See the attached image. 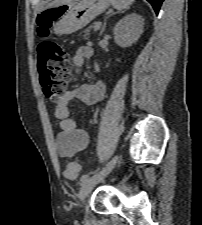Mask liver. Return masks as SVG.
Instances as JSON below:
<instances>
[{"label": "liver", "mask_w": 202, "mask_h": 225, "mask_svg": "<svg viewBox=\"0 0 202 225\" xmlns=\"http://www.w3.org/2000/svg\"><path fill=\"white\" fill-rule=\"evenodd\" d=\"M74 1L75 0H53L51 3L47 5V8L56 7V6L64 5V4H71Z\"/></svg>", "instance_id": "1"}]
</instances>
